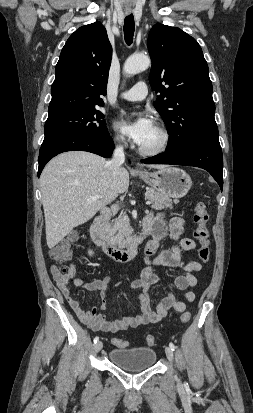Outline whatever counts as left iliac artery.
<instances>
[{
    "label": "left iliac artery",
    "mask_w": 253,
    "mask_h": 413,
    "mask_svg": "<svg viewBox=\"0 0 253 413\" xmlns=\"http://www.w3.org/2000/svg\"><path fill=\"white\" fill-rule=\"evenodd\" d=\"M169 346H170V348H171L172 351L175 350V345H174L172 342H170Z\"/></svg>",
    "instance_id": "obj_1"
}]
</instances>
